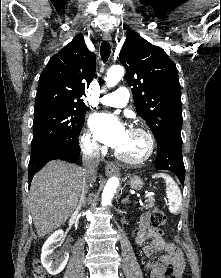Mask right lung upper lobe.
Listing matches in <instances>:
<instances>
[{
	"instance_id": "1",
	"label": "right lung upper lobe",
	"mask_w": 221,
	"mask_h": 278,
	"mask_svg": "<svg viewBox=\"0 0 221 278\" xmlns=\"http://www.w3.org/2000/svg\"><path fill=\"white\" fill-rule=\"evenodd\" d=\"M95 69V54L88 50L83 35L78 34L51 57L41 73L35 107L59 105L86 109L81 97L89 87Z\"/></svg>"
}]
</instances>
